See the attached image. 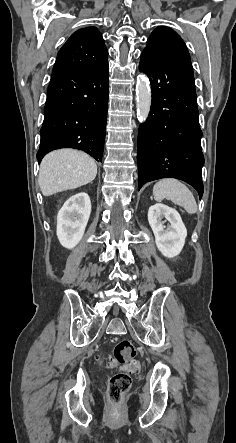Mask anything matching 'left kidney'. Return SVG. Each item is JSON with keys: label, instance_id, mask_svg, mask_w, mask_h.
Listing matches in <instances>:
<instances>
[{"label": "left kidney", "instance_id": "1", "mask_svg": "<svg viewBox=\"0 0 236 443\" xmlns=\"http://www.w3.org/2000/svg\"><path fill=\"white\" fill-rule=\"evenodd\" d=\"M169 222L167 227L162 219ZM148 222L155 236V243L163 256L173 258L182 251L187 230L180 214L173 208L164 204H154L148 210Z\"/></svg>", "mask_w": 236, "mask_h": 443}]
</instances>
